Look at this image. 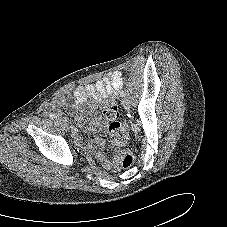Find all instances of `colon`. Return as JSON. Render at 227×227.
Masks as SVG:
<instances>
[{
	"label": "colon",
	"instance_id": "5ec220e1",
	"mask_svg": "<svg viewBox=\"0 0 227 227\" xmlns=\"http://www.w3.org/2000/svg\"><path fill=\"white\" fill-rule=\"evenodd\" d=\"M105 116L111 121L109 133L113 146L120 150V165L123 168H130L135 161V157L130 150H121L129 141V132L125 124L118 120L119 107L114 101H108L104 107Z\"/></svg>",
	"mask_w": 227,
	"mask_h": 227
}]
</instances>
